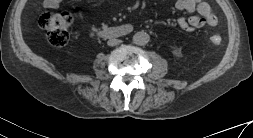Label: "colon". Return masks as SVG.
Returning <instances> with one entry per match:
<instances>
[{
    "instance_id": "5ec220e1",
    "label": "colon",
    "mask_w": 253,
    "mask_h": 138,
    "mask_svg": "<svg viewBox=\"0 0 253 138\" xmlns=\"http://www.w3.org/2000/svg\"><path fill=\"white\" fill-rule=\"evenodd\" d=\"M40 23L42 26L49 28L50 39L56 45H63L68 37V22L65 17L61 14L46 13L41 19ZM219 42L218 36L211 38L212 44Z\"/></svg>"
}]
</instances>
